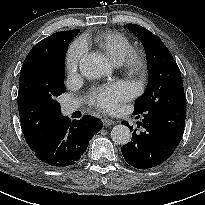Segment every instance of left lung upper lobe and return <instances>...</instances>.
<instances>
[{"instance_id":"left-lung-upper-lobe-1","label":"left lung upper lobe","mask_w":205,"mask_h":205,"mask_svg":"<svg viewBox=\"0 0 205 205\" xmlns=\"http://www.w3.org/2000/svg\"><path fill=\"white\" fill-rule=\"evenodd\" d=\"M144 45L148 62V85L134 105L133 115H140L170 101H186L180 69L163 42L149 30L128 24Z\"/></svg>"}]
</instances>
